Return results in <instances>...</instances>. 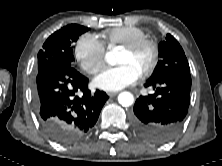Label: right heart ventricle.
Listing matches in <instances>:
<instances>
[{
	"instance_id": "1",
	"label": "right heart ventricle",
	"mask_w": 222,
	"mask_h": 166,
	"mask_svg": "<svg viewBox=\"0 0 222 166\" xmlns=\"http://www.w3.org/2000/svg\"><path fill=\"white\" fill-rule=\"evenodd\" d=\"M109 45H129L135 41L146 38L145 33L133 26H122L109 29L104 33Z\"/></svg>"
}]
</instances>
